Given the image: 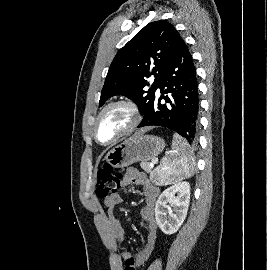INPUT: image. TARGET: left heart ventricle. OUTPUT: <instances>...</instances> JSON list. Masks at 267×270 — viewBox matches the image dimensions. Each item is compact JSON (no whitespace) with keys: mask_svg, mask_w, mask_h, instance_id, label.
<instances>
[{"mask_svg":"<svg viewBox=\"0 0 267 270\" xmlns=\"http://www.w3.org/2000/svg\"><path fill=\"white\" fill-rule=\"evenodd\" d=\"M132 115L124 106L107 110L98 124V136L102 142H109L123 132L131 123Z\"/></svg>","mask_w":267,"mask_h":270,"instance_id":"left-heart-ventricle-1","label":"left heart ventricle"}]
</instances>
